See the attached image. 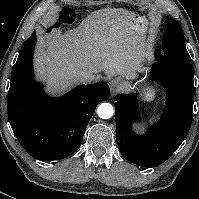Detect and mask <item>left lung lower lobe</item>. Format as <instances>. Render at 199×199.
I'll use <instances>...</instances> for the list:
<instances>
[{
  "instance_id": "obj_1",
  "label": "left lung lower lobe",
  "mask_w": 199,
  "mask_h": 199,
  "mask_svg": "<svg viewBox=\"0 0 199 199\" xmlns=\"http://www.w3.org/2000/svg\"><path fill=\"white\" fill-rule=\"evenodd\" d=\"M152 66L151 77L167 90V101L161 121L146 134L137 135L131 125L140 120L135 94L115 96V122L120 153L128 161L155 167L171 157L187 136L194 103L193 69L170 60H158Z\"/></svg>"
}]
</instances>
